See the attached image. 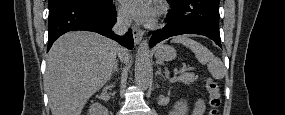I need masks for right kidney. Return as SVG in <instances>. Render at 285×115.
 <instances>
[{"label":"right kidney","instance_id":"ca27d5eb","mask_svg":"<svg viewBox=\"0 0 285 115\" xmlns=\"http://www.w3.org/2000/svg\"><path fill=\"white\" fill-rule=\"evenodd\" d=\"M107 111L101 104H92L89 108V115H106Z\"/></svg>","mask_w":285,"mask_h":115}]
</instances>
